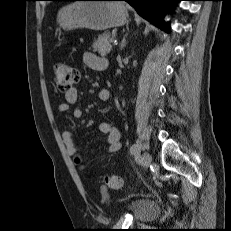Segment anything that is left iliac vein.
I'll use <instances>...</instances> for the list:
<instances>
[{
    "mask_svg": "<svg viewBox=\"0 0 231 231\" xmlns=\"http://www.w3.org/2000/svg\"><path fill=\"white\" fill-rule=\"evenodd\" d=\"M151 162H152V156L148 152H145L142 156V167L144 169L148 168Z\"/></svg>",
    "mask_w": 231,
    "mask_h": 231,
    "instance_id": "1",
    "label": "left iliac vein"
}]
</instances>
